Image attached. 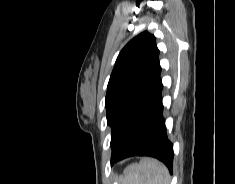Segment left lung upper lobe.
Returning <instances> with one entry per match:
<instances>
[{
	"mask_svg": "<svg viewBox=\"0 0 235 184\" xmlns=\"http://www.w3.org/2000/svg\"><path fill=\"white\" fill-rule=\"evenodd\" d=\"M156 38L144 31L119 53L111 73L105 106L111 127V160L126 144L134 124L152 96L161 67Z\"/></svg>",
	"mask_w": 235,
	"mask_h": 184,
	"instance_id": "obj_1",
	"label": "left lung upper lobe"
}]
</instances>
